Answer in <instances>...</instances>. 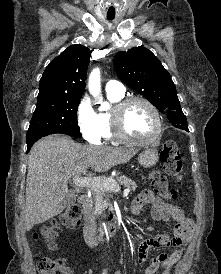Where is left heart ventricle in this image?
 <instances>
[{
	"mask_svg": "<svg viewBox=\"0 0 221 274\" xmlns=\"http://www.w3.org/2000/svg\"><path fill=\"white\" fill-rule=\"evenodd\" d=\"M122 126L127 136L142 140L150 137L154 132L155 120L146 105L135 102L125 110Z\"/></svg>",
	"mask_w": 221,
	"mask_h": 274,
	"instance_id": "1",
	"label": "left heart ventricle"
}]
</instances>
